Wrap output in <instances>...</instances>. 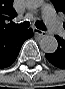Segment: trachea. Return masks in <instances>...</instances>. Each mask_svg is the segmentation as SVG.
<instances>
[{"label":"trachea","instance_id":"obj_1","mask_svg":"<svg viewBox=\"0 0 65 89\" xmlns=\"http://www.w3.org/2000/svg\"><path fill=\"white\" fill-rule=\"evenodd\" d=\"M35 25L40 30H43V31L46 30L45 24L42 21H36ZM13 26L18 29H27L30 26V23L29 21H24L23 23H20V24L14 23Z\"/></svg>","mask_w":65,"mask_h":89}]
</instances>
